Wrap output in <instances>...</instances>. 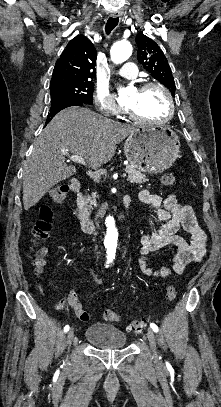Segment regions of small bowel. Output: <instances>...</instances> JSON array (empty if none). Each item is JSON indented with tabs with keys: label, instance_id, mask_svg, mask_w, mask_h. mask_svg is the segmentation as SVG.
Instances as JSON below:
<instances>
[{
	"label": "small bowel",
	"instance_id": "c3829d8e",
	"mask_svg": "<svg viewBox=\"0 0 221 407\" xmlns=\"http://www.w3.org/2000/svg\"><path fill=\"white\" fill-rule=\"evenodd\" d=\"M139 199L155 209V214L159 221L158 227L153 232L141 237L139 266L145 275L165 278L173 273L181 274L187 264L198 261L205 255L206 234L198 223L191 206L180 203L173 195L164 199L160 195L151 193L148 190H142L139 193ZM180 228H183L190 235L189 242H186L183 237L178 235ZM168 244L176 247L172 266L161 267L155 270L149 267L145 261V256ZM89 272L97 283L103 284V280L97 277L94 269H90ZM40 289L44 292L42 284ZM74 300V296L70 295L69 301L72 302ZM55 307L62 309L64 301L61 299L56 300Z\"/></svg>",
	"mask_w": 221,
	"mask_h": 407
}]
</instances>
